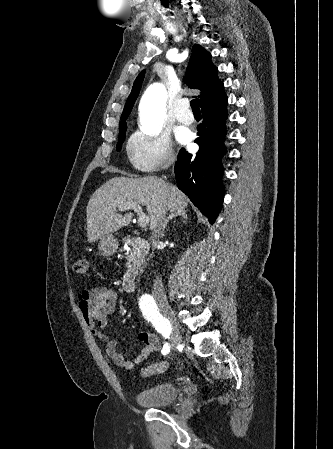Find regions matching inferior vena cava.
Returning <instances> with one entry per match:
<instances>
[{
  "instance_id": "1",
  "label": "inferior vena cava",
  "mask_w": 333,
  "mask_h": 449,
  "mask_svg": "<svg viewBox=\"0 0 333 449\" xmlns=\"http://www.w3.org/2000/svg\"><path fill=\"white\" fill-rule=\"evenodd\" d=\"M166 211H167L166 208H162L158 212V214L156 216V220H155V223H154V232L152 233V237H151L152 246H154V247L157 245V240H158V237L160 235V228H161V225H162V221L165 218ZM153 295H154V298L157 301H159V302H165L166 301V296L164 294L162 281L159 280V279H156L154 281Z\"/></svg>"
}]
</instances>
